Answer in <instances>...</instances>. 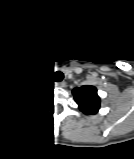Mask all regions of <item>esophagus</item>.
<instances>
[{
    "label": "esophagus",
    "mask_w": 134,
    "mask_h": 159,
    "mask_svg": "<svg viewBox=\"0 0 134 159\" xmlns=\"http://www.w3.org/2000/svg\"><path fill=\"white\" fill-rule=\"evenodd\" d=\"M59 84H60L61 86H63L65 83H64V82H60Z\"/></svg>",
    "instance_id": "obj_1"
}]
</instances>
